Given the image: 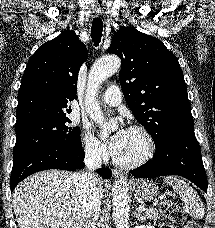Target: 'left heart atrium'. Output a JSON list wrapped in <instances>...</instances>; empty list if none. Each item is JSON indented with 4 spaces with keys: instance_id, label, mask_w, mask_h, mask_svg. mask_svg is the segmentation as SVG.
<instances>
[{
    "instance_id": "obj_1",
    "label": "left heart atrium",
    "mask_w": 215,
    "mask_h": 228,
    "mask_svg": "<svg viewBox=\"0 0 215 228\" xmlns=\"http://www.w3.org/2000/svg\"><path fill=\"white\" fill-rule=\"evenodd\" d=\"M129 130L125 127L120 128L109 141V148L111 153L116 156L124 148L128 139Z\"/></svg>"
}]
</instances>
